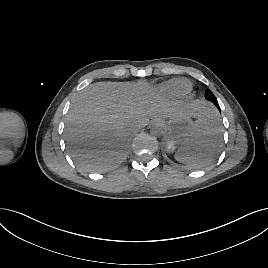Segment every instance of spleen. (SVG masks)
<instances>
[{
    "mask_svg": "<svg viewBox=\"0 0 268 268\" xmlns=\"http://www.w3.org/2000/svg\"><path fill=\"white\" fill-rule=\"evenodd\" d=\"M222 125L212 109L196 121L191 137L175 153V159L192 167H202L216 156Z\"/></svg>",
    "mask_w": 268,
    "mask_h": 268,
    "instance_id": "3e777b00",
    "label": "spleen"
}]
</instances>
